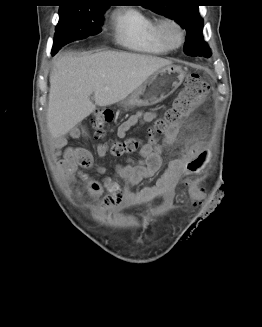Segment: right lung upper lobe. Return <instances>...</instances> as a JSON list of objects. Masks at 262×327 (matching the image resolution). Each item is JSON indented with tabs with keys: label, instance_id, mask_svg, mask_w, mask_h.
<instances>
[{
	"label": "right lung upper lobe",
	"instance_id": "cb5924a9",
	"mask_svg": "<svg viewBox=\"0 0 262 327\" xmlns=\"http://www.w3.org/2000/svg\"><path fill=\"white\" fill-rule=\"evenodd\" d=\"M61 1H63L64 3H95V4L101 3L100 0H61Z\"/></svg>",
	"mask_w": 262,
	"mask_h": 327
}]
</instances>
